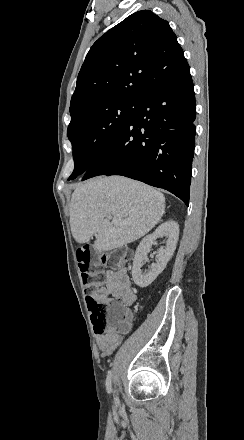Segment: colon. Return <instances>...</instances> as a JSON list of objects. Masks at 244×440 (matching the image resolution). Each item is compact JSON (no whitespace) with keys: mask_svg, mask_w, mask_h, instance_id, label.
Instances as JSON below:
<instances>
[{"mask_svg":"<svg viewBox=\"0 0 244 440\" xmlns=\"http://www.w3.org/2000/svg\"><path fill=\"white\" fill-rule=\"evenodd\" d=\"M78 271H82V279L85 283V302L92 319H105V328L116 334L125 333L128 328V319L131 318V305H122L110 301L109 304H99V299L94 298L95 286L101 280L102 272H113L122 267L123 261L131 259L130 248H112L107 263L90 262L92 253L89 248H78ZM101 268V269H100Z\"/></svg>","mask_w":244,"mask_h":440,"instance_id":"obj_1","label":"colon"}]
</instances>
